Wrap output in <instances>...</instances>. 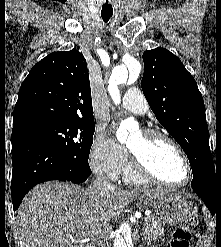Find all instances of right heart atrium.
<instances>
[{"instance_id": "d8ad5b80", "label": "right heart atrium", "mask_w": 221, "mask_h": 247, "mask_svg": "<svg viewBox=\"0 0 221 247\" xmlns=\"http://www.w3.org/2000/svg\"><path fill=\"white\" fill-rule=\"evenodd\" d=\"M126 159L127 151L124 146L103 134L96 135L89 150V164L95 173L117 179Z\"/></svg>"}]
</instances>
